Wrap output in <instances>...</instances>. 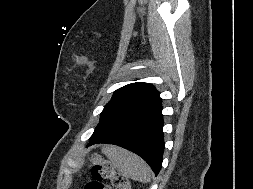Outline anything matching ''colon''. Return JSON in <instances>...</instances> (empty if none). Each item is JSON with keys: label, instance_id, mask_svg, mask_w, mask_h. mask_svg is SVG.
I'll return each instance as SVG.
<instances>
[{"label": "colon", "instance_id": "5ec220e1", "mask_svg": "<svg viewBox=\"0 0 253 189\" xmlns=\"http://www.w3.org/2000/svg\"><path fill=\"white\" fill-rule=\"evenodd\" d=\"M91 175L92 180L86 183L84 189H132L130 179L99 155L91 159Z\"/></svg>", "mask_w": 253, "mask_h": 189}]
</instances>
